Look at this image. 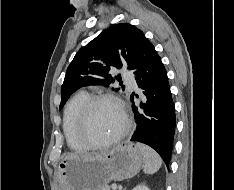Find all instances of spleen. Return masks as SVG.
<instances>
[{
    "label": "spleen",
    "mask_w": 234,
    "mask_h": 190,
    "mask_svg": "<svg viewBox=\"0 0 234 190\" xmlns=\"http://www.w3.org/2000/svg\"><path fill=\"white\" fill-rule=\"evenodd\" d=\"M136 146L141 151L144 159V173L149 175L156 173L162 165L161 157L147 145L137 143Z\"/></svg>",
    "instance_id": "3e777b00"
}]
</instances>
